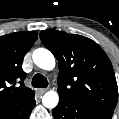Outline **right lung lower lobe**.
Returning a JSON list of instances; mask_svg holds the SVG:
<instances>
[{"mask_svg": "<svg viewBox=\"0 0 119 119\" xmlns=\"http://www.w3.org/2000/svg\"><path fill=\"white\" fill-rule=\"evenodd\" d=\"M34 95L7 106H1L0 119H28L36 104Z\"/></svg>", "mask_w": 119, "mask_h": 119, "instance_id": "1", "label": "right lung lower lobe"}]
</instances>
